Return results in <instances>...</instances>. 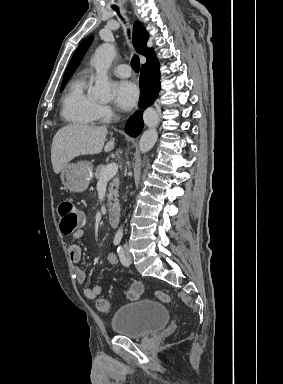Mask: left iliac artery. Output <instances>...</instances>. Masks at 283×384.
<instances>
[{"mask_svg":"<svg viewBox=\"0 0 283 384\" xmlns=\"http://www.w3.org/2000/svg\"><path fill=\"white\" fill-rule=\"evenodd\" d=\"M117 253H118V256H119V259H120L122 265H124V266H128V265H127V259H126L124 250H123V248H122L121 246H119V247L117 248Z\"/></svg>","mask_w":283,"mask_h":384,"instance_id":"1","label":"left iliac artery"}]
</instances>
